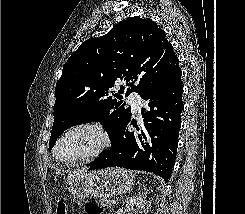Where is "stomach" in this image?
<instances>
[{"mask_svg":"<svg viewBox=\"0 0 245 214\" xmlns=\"http://www.w3.org/2000/svg\"><path fill=\"white\" fill-rule=\"evenodd\" d=\"M135 182L132 173L122 168H108L85 173L76 171L67 178V189L78 198L108 197L126 193Z\"/></svg>","mask_w":245,"mask_h":214,"instance_id":"obj_1","label":"stomach"}]
</instances>
